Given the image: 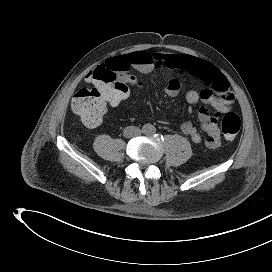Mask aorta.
<instances>
[{
    "mask_svg": "<svg viewBox=\"0 0 272 272\" xmlns=\"http://www.w3.org/2000/svg\"><path fill=\"white\" fill-rule=\"evenodd\" d=\"M142 129L143 133L146 135H152L155 133V127L152 124H145Z\"/></svg>",
    "mask_w": 272,
    "mask_h": 272,
    "instance_id": "aorta-1",
    "label": "aorta"
}]
</instances>
